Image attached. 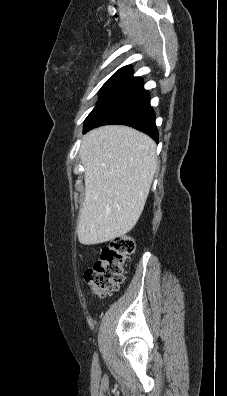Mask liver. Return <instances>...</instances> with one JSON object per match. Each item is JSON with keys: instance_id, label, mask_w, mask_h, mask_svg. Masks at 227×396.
I'll use <instances>...</instances> for the list:
<instances>
[{"instance_id": "liver-1", "label": "liver", "mask_w": 227, "mask_h": 396, "mask_svg": "<svg viewBox=\"0 0 227 396\" xmlns=\"http://www.w3.org/2000/svg\"><path fill=\"white\" fill-rule=\"evenodd\" d=\"M79 155L85 168L79 242L100 244L125 235L149 194L157 168L155 142L127 126H102L83 137Z\"/></svg>"}]
</instances>
